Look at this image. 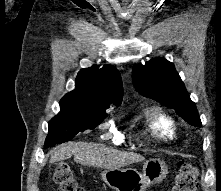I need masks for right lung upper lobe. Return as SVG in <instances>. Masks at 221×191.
I'll list each match as a JSON object with an SVG mask.
<instances>
[{"mask_svg": "<svg viewBox=\"0 0 221 191\" xmlns=\"http://www.w3.org/2000/svg\"><path fill=\"white\" fill-rule=\"evenodd\" d=\"M123 88L119 72L113 66L101 69L93 65L81 69L76 77V89L60 100V108L85 110L105 114L110 101L116 106L122 102Z\"/></svg>", "mask_w": 221, "mask_h": 191, "instance_id": "right-lung-upper-lobe-1", "label": "right lung upper lobe"}]
</instances>
